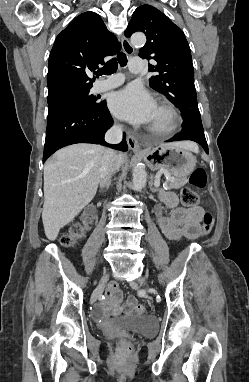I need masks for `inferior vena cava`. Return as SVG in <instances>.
Listing matches in <instances>:
<instances>
[{"label": "inferior vena cava", "instance_id": "inferior-vena-cava-1", "mask_svg": "<svg viewBox=\"0 0 249 382\" xmlns=\"http://www.w3.org/2000/svg\"><path fill=\"white\" fill-rule=\"evenodd\" d=\"M123 129L119 125L111 127L105 134L106 142L110 144H118L122 141ZM117 153L113 149H106L105 151V163L101 170L100 186L102 188L109 185L111 176L116 169L119 168L117 164Z\"/></svg>", "mask_w": 249, "mask_h": 382}]
</instances>
